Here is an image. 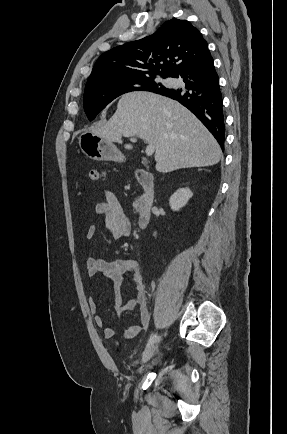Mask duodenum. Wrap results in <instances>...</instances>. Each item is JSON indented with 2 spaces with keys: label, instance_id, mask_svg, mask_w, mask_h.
Returning a JSON list of instances; mask_svg holds the SVG:
<instances>
[{
  "label": "duodenum",
  "instance_id": "1",
  "mask_svg": "<svg viewBox=\"0 0 287 434\" xmlns=\"http://www.w3.org/2000/svg\"><path fill=\"white\" fill-rule=\"evenodd\" d=\"M136 179L143 188V194L138 202V226L144 229L148 226L151 220V207L154 200V178L144 169H139L136 172Z\"/></svg>",
  "mask_w": 287,
  "mask_h": 434
}]
</instances>
